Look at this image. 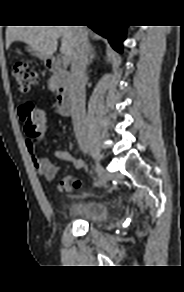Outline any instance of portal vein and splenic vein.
I'll use <instances>...</instances> for the list:
<instances>
[{
  "instance_id": "portal-vein-and-splenic-vein-1",
  "label": "portal vein and splenic vein",
  "mask_w": 184,
  "mask_h": 292,
  "mask_svg": "<svg viewBox=\"0 0 184 292\" xmlns=\"http://www.w3.org/2000/svg\"><path fill=\"white\" fill-rule=\"evenodd\" d=\"M62 63L64 65H67L69 63V59L66 55L63 54V56L61 57Z\"/></svg>"
}]
</instances>
